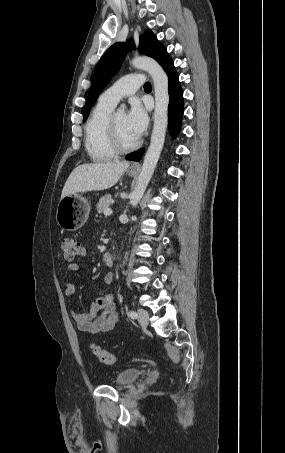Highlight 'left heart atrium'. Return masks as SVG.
Instances as JSON below:
<instances>
[{
	"mask_svg": "<svg viewBox=\"0 0 285 453\" xmlns=\"http://www.w3.org/2000/svg\"><path fill=\"white\" fill-rule=\"evenodd\" d=\"M126 120L131 132L139 139L147 128L148 115L138 100L132 101Z\"/></svg>",
	"mask_w": 285,
	"mask_h": 453,
	"instance_id": "1",
	"label": "left heart atrium"
}]
</instances>
